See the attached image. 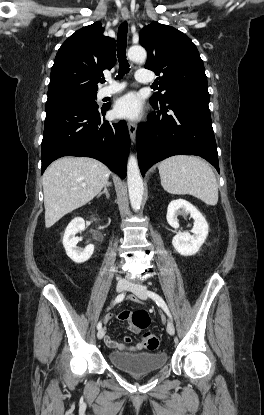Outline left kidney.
<instances>
[{
	"mask_svg": "<svg viewBox=\"0 0 264 415\" xmlns=\"http://www.w3.org/2000/svg\"><path fill=\"white\" fill-rule=\"evenodd\" d=\"M185 212L190 214L194 220L191 230L192 235L188 232L179 231L172 240L174 249L183 256H192L196 254L205 242L208 235V224L204 216L195 206L184 199L172 200L167 208V222L174 228H179L177 216Z\"/></svg>",
	"mask_w": 264,
	"mask_h": 415,
	"instance_id": "5707ae66",
	"label": "left kidney"
}]
</instances>
